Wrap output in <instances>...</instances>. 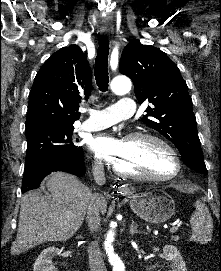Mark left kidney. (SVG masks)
I'll return each mask as SVG.
<instances>
[{
  "mask_svg": "<svg viewBox=\"0 0 221 271\" xmlns=\"http://www.w3.org/2000/svg\"><path fill=\"white\" fill-rule=\"evenodd\" d=\"M163 253L172 263L171 271H187L185 261L176 245H164Z\"/></svg>",
  "mask_w": 221,
  "mask_h": 271,
  "instance_id": "obj_1",
  "label": "left kidney"
}]
</instances>
